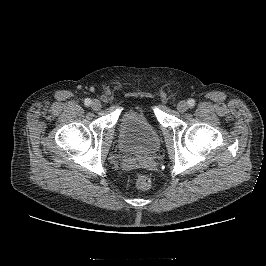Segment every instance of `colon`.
Returning <instances> with one entry per match:
<instances>
[{"mask_svg":"<svg viewBox=\"0 0 266 266\" xmlns=\"http://www.w3.org/2000/svg\"><path fill=\"white\" fill-rule=\"evenodd\" d=\"M135 185L140 190H147L151 185L150 178L144 173H137L134 178Z\"/></svg>","mask_w":266,"mask_h":266,"instance_id":"colon-1","label":"colon"}]
</instances>
